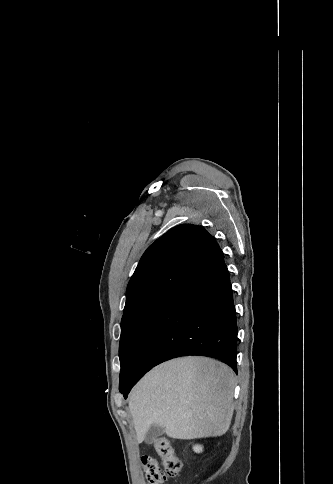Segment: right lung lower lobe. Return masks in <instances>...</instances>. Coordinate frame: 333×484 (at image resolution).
Wrapping results in <instances>:
<instances>
[{
    "mask_svg": "<svg viewBox=\"0 0 333 484\" xmlns=\"http://www.w3.org/2000/svg\"><path fill=\"white\" fill-rule=\"evenodd\" d=\"M237 331L229 272L221 258L162 303L138 344L120 392L127 398L146 372L177 356L220 359L237 373Z\"/></svg>",
    "mask_w": 333,
    "mask_h": 484,
    "instance_id": "98d812e1",
    "label": "right lung lower lobe"
}]
</instances>
